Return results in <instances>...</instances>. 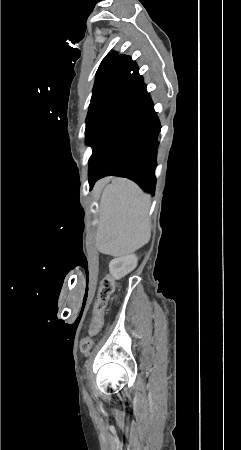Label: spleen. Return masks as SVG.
<instances>
[{
  "label": "spleen",
  "mask_w": 241,
  "mask_h": 450,
  "mask_svg": "<svg viewBox=\"0 0 241 450\" xmlns=\"http://www.w3.org/2000/svg\"><path fill=\"white\" fill-rule=\"evenodd\" d=\"M150 196L126 178H114L105 186L99 203L100 227L96 247L108 256H129L150 240Z\"/></svg>",
  "instance_id": "3e777b00"
}]
</instances>
